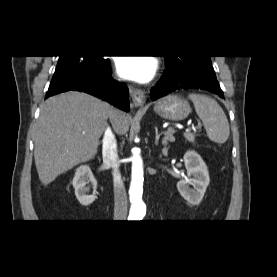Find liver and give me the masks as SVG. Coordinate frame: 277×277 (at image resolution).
Here are the masks:
<instances>
[{
  "instance_id": "1",
  "label": "liver",
  "mask_w": 277,
  "mask_h": 277,
  "mask_svg": "<svg viewBox=\"0 0 277 277\" xmlns=\"http://www.w3.org/2000/svg\"><path fill=\"white\" fill-rule=\"evenodd\" d=\"M120 135L129 129L126 114L91 95L69 91L41 105L35 133L34 159L42 184L97 153L107 119Z\"/></svg>"
}]
</instances>
